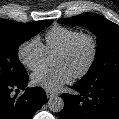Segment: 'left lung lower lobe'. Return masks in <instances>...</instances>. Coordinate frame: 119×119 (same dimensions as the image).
I'll return each instance as SVG.
<instances>
[{
  "label": "left lung lower lobe",
  "instance_id": "obj_1",
  "mask_svg": "<svg viewBox=\"0 0 119 119\" xmlns=\"http://www.w3.org/2000/svg\"><path fill=\"white\" fill-rule=\"evenodd\" d=\"M79 95L62 94L59 119H119V80L76 83Z\"/></svg>",
  "mask_w": 119,
  "mask_h": 119
}]
</instances>
